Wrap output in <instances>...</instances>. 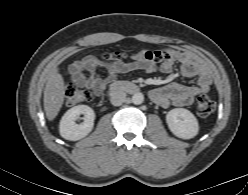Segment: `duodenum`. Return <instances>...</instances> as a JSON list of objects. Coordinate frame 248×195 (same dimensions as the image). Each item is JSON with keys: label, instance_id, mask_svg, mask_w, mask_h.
Instances as JSON below:
<instances>
[{"label": "duodenum", "instance_id": "obj_1", "mask_svg": "<svg viewBox=\"0 0 248 195\" xmlns=\"http://www.w3.org/2000/svg\"><path fill=\"white\" fill-rule=\"evenodd\" d=\"M127 91L132 94L139 92V87L128 81H115L108 88V94H113L118 91Z\"/></svg>", "mask_w": 248, "mask_h": 195}]
</instances>
